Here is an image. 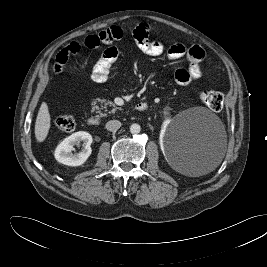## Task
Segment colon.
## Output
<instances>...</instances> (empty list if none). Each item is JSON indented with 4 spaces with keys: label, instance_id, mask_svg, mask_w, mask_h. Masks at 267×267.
<instances>
[{
    "label": "colon",
    "instance_id": "colon-1",
    "mask_svg": "<svg viewBox=\"0 0 267 267\" xmlns=\"http://www.w3.org/2000/svg\"><path fill=\"white\" fill-rule=\"evenodd\" d=\"M201 101L211 110L220 111L223 107L224 96L219 91L207 90L201 93ZM75 119L70 115L60 116L56 119V126L64 132H70L75 128Z\"/></svg>",
    "mask_w": 267,
    "mask_h": 267
}]
</instances>
